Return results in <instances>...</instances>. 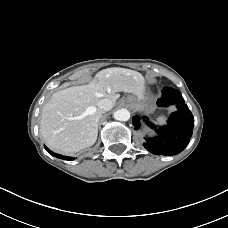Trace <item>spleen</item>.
<instances>
[{"instance_id": "1", "label": "spleen", "mask_w": 228, "mask_h": 228, "mask_svg": "<svg viewBox=\"0 0 228 228\" xmlns=\"http://www.w3.org/2000/svg\"><path fill=\"white\" fill-rule=\"evenodd\" d=\"M165 120H166V117L163 116V115H161V116L156 118V122L159 123V124H164Z\"/></svg>"}]
</instances>
